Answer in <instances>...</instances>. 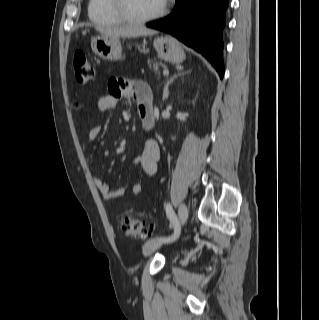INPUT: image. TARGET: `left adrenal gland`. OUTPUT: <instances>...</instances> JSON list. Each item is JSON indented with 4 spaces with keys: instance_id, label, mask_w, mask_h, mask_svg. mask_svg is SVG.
Masks as SVG:
<instances>
[{
    "instance_id": "obj_1",
    "label": "left adrenal gland",
    "mask_w": 319,
    "mask_h": 320,
    "mask_svg": "<svg viewBox=\"0 0 319 320\" xmlns=\"http://www.w3.org/2000/svg\"><path fill=\"white\" fill-rule=\"evenodd\" d=\"M183 74H184V72H181V73H178V74H174L169 80H167V82H166V84H165V86H164V90H163V101H164L165 99H167L168 96H169V85H170L171 83H173V81H174L177 77H179V76H181V75H183Z\"/></svg>"
}]
</instances>
